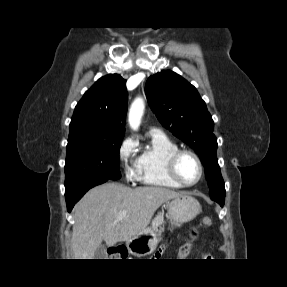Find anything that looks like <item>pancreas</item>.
I'll return each instance as SVG.
<instances>
[{"instance_id":"obj_1","label":"pancreas","mask_w":287,"mask_h":287,"mask_svg":"<svg viewBox=\"0 0 287 287\" xmlns=\"http://www.w3.org/2000/svg\"><path fill=\"white\" fill-rule=\"evenodd\" d=\"M164 223V218L163 216H158L156 218H154L152 220V223H151V228L154 230V231H161V230H164L162 226V224Z\"/></svg>"}]
</instances>
